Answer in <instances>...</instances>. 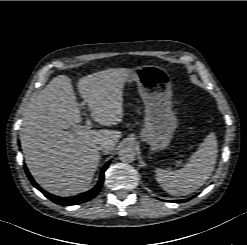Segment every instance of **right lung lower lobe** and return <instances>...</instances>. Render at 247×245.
I'll return each instance as SVG.
<instances>
[{
  "label": "right lung lower lobe",
  "instance_id": "98d812e1",
  "mask_svg": "<svg viewBox=\"0 0 247 245\" xmlns=\"http://www.w3.org/2000/svg\"><path fill=\"white\" fill-rule=\"evenodd\" d=\"M109 164H110V161H108L104 165V167L102 168L98 183L93 189H91L85 193H81L79 195L72 196V197H58V196H54V195L49 194L48 192L42 190L38 186V184L33 180L32 176L30 175L26 166H24V168L26 170V174H27L29 180L34 185V187H36L39 191H41L47 198L52 200L54 203H56L58 205H62V206H68V205H76V204L84 203V202L94 198L98 194V192L100 191V188L102 187L103 181H104V173H105L106 169L108 168Z\"/></svg>",
  "mask_w": 247,
  "mask_h": 245
}]
</instances>
